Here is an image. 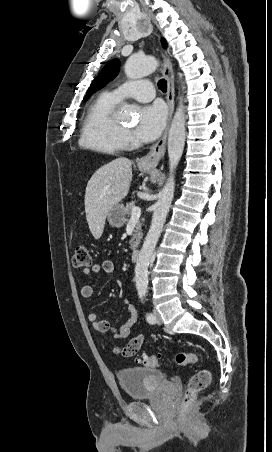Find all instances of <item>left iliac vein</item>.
<instances>
[{
	"label": "left iliac vein",
	"instance_id": "1",
	"mask_svg": "<svg viewBox=\"0 0 272 452\" xmlns=\"http://www.w3.org/2000/svg\"><path fill=\"white\" fill-rule=\"evenodd\" d=\"M153 314H154V316L156 318V323L157 324H162V318H161L159 312L157 310H154Z\"/></svg>",
	"mask_w": 272,
	"mask_h": 452
}]
</instances>
